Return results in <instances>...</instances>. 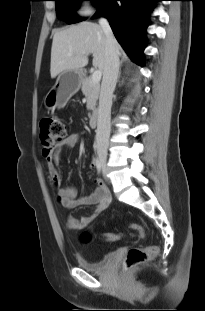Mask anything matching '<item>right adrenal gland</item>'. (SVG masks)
Instances as JSON below:
<instances>
[{"instance_id":"obj_1","label":"right adrenal gland","mask_w":205,"mask_h":311,"mask_svg":"<svg viewBox=\"0 0 205 311\" xmlns=\"http://www.w3.org/2000/svg\"><path fill=\"white\" fill-rule=\"evenodd\" d=\"M121 64H122V61H121ZM120 76H121V72H119V74H118V81L120 79Z\"/></svg>"}]
</instances>
